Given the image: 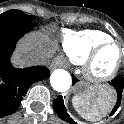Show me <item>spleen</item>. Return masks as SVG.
I'll use <instances>...</instances> for the list:
<instances>
[{
  "instance_id": "obj_1",
  "label": "spleen",
  "mask_w": 124,
  "mask_h": 124,
  "mask_svg": "<svg viewBox=\"0 0 124 124\" xmlns=\"http://www.w3.org/2000/svg\"><path fill=\"white\" fill-rule=\"evenodd\" d=\"M73 107L86 120L95 121L105 115L112 105L108 96L81 97L75 95L72 98Z\"/></svg>"
}]
</instances>
